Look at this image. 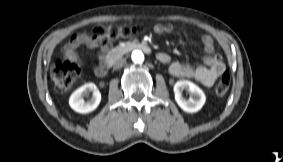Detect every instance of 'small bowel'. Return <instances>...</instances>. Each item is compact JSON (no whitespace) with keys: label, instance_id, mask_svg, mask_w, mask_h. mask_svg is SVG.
<instances>
[{"label":"small bowel","instance_id":"small-bowel-1","mask_svg":"<svg viewBox=\"0 0 283 162\" xmlns=\"http://www.w3.org/2000/svg\"><path fill=\"white\" fill-rule=\"evenodd\" d=\"M174 30L172 24H158L154 27L156 34L171 33ZM203 49L206 56L203 58V65L193 67L189 64L172 61L171 57L166 53H159L158 59L169 65V71L177 77L191 78L205 86H211L225 72V65L221 57L215 54V45L213 38L210 35H203L201 38ZM80 46H86L90 49H95L101 46V52L98 54L100 60L97 67L92 69V74L97 77L107 78L110 75V70L107 65V58L111 55L109 43H103V40L88 35L86 33L74 34L70 40L64 45L63 52L67 61L80 65V59L76 49Z\"/></svg>","mask_w":283,"mask_h":162}]
</instances>
